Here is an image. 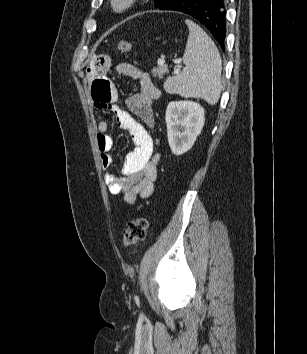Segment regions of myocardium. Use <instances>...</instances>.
I'll use <instances>...</instances> for the list:
<instances>
[{"instance_id": "f54148a6", "label": "myocardium", "mask_w": 307, "mask_h": 354, "mask_svg": "<svg viewBox=\"0 0 307 354\" xmlns=\"http://www.w3.org/2000/svg\"><path fill=\"white\" fill-rule=\"evenodd\" d=\"M138 0H110L111 7L116 13H123L131 9Z\"/></svg>"}]
</instances>
